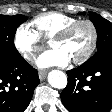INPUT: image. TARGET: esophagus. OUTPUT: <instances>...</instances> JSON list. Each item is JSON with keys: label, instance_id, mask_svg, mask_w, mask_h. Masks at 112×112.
<instances>
[{"label": "esophagus", "instance_id": "obj_1", "mask_svg": "<svg viewBox=\"0 0 112 112\" xmlns=\"http://www.w3.org/2000/svg\"><path fill=\"white\" fill-rule=\"evenodd\" d=\"M46 75H47V71H45V70L39 71V79L41 81H43L46 78Z\"/></svg>", "mask_w": 112, "mask_h": 112}]
</instances>
